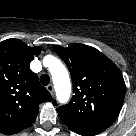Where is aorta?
I'll list each match as a JSON object with an SVG mask.
<instances>
[{
	"label": "aorta",
	"instance_id": "762f6f07",
	"mask_svg": "<svg viewBox=\"0 0 136 136\" xmlns=\"http://www.w3.org/2000/svg\"><path fill=\"white\" fill-rule=\"evenodd\" d=\"M46 59L49 61L48 67L52 76L57 100L60 103H66L71 94V83L68 71L59 59L53 56H48Z\"/></svg>",
	"mask_w": 136,
	"mask_h": 136
}]
</instances>
